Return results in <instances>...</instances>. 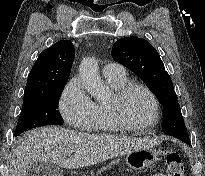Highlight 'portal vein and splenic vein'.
Wrapping results in <instances>:
<instances>
[{
    "instance_id": "1",
    "label": "portal vein and splenic vein",
    "mask_w": 205,
    "mask_h": 176,
    "mask_svg": "<svg viewBox=\"0 0 205 176\" xmlns=\"http://www.w3.org/2000/svg\"><path fill=\"white\" fill-rule=\"evenodd\" d=\"M66 155L70 156L71 155V152H65Z\"/></svg>"
}]
</instances>
